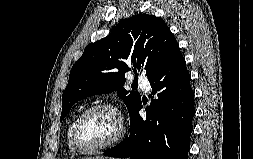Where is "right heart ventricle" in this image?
Instances as JSON below:
<instances>
[{
  "mask_svg": "<svg viewBox=\"0 0 253 159\" xmlns=\"http://www.w3.org/2000/svg\"><path fill=\"white\" fill-rule=\"evenodd\" d=\"M75 118L72 119L68 129H67V132H66V143H67V146L69 149L72 150V147H71V144H70V137H71V127H72V124L74 122Z\"/></svg>",
  "mask_w": 253,
  "mask_h": 159,
  "instance_id": "obj_1",
  "label": "right heart ventricle"
}]
</instances>
